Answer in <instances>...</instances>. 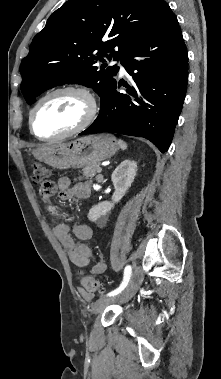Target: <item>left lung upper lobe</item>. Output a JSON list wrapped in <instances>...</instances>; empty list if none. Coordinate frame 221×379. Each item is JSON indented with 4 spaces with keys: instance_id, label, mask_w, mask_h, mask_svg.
<instances>
[{
    "instance_id": "5c2ea615",
    "label": "left lung upper lobe",
    "mask_w": 221,
    "mask_h": 379,
    "mask_svg": "<svg viewBox=\"0 0 221 379\" xmlns=\"http://www.w3.org/2000/svg\"><path fill=\"white\" fill-rule=\"evenodd\" d=\"M164 3L69 0L63 4L34 37L21 63V91L28 104L45 90L66 83L92 87L102 96L117 70L116 65L106 68L105 62L113 55L122 60L154 25Z\"/></svg>"
}]
</instances>
